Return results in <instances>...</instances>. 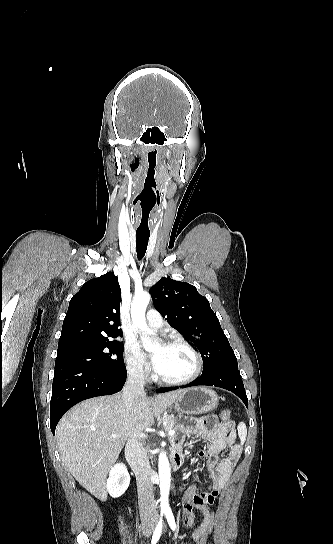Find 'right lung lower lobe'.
<instances>
[{
	"instance_id": "right-lung-lower-lobe-1",
	"label": "right lung lower lobe",
	"mask_w": 333,
	"mask_h": 544,
	"mask_svg": "<svg viewBox=\"0 0 333 544\" xmlns=\"http://www.w3.org/2000/svg\"><path fill=\"white\" fill-rule=\"evenodd\" d=\"M126 373H110L72 361L55 362L50 428H55L61 417L78 402L119 392L126 382Z\"/></svg>"
}]
</instances>
